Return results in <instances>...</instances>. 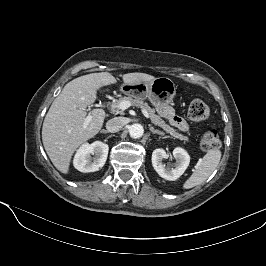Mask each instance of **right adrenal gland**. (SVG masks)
Returning <instances> with one entry per match:
<instances>
[{
    "label": "right adrenal gland",
    "instance_id": "1",
    "mask_svg": "<svg viewBox=\"0 0 266 266\" xmlns=\"http://www.w3.org/2000/svg\"><path fill=\"white\" fill-rule=\"evenodd\" d=\"M100 132H101V133H109L107 130H104V129L101 130Z\"/></svg>",
    "mask_w": 266,
    "mask_h": 266
}]
</instances>
